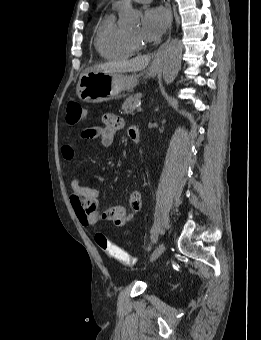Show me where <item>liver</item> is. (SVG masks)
Masks as SVG:
<instances>
[{
  "mask_svg": "<svg viewBox=\"0 0 261 340\" xmlns=\"http://www.w3.org/2000/svg\"><path fill=\"white\" fill-rule=\"evenodd\" d=\"M151 57L148 55L136 57L131 60L118 61V62H106L99 65L94 66L92 71H106V72H116V73H125V72H138L145 69Z\"/></svg>",
  "mask_w": 261,
  "mask_h": 340,
  "instance_id": "1",
  "label": "liver"
}]
</instances>
